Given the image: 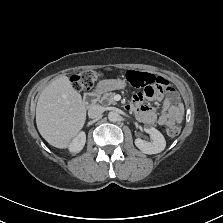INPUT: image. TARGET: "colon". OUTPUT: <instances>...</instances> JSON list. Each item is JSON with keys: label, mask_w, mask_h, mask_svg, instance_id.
Returning a JSON list of instances; mask_svg holds the SVG:
<instances>
[{"label": "colon", "mask_w": 223, "mask_h": 223, "mask_svg": "<svg viewBox=\"0 0 223 223\" xmlns=\"http://www.w3.org/2000/svg\"><path fill=\"white\" fill-rule=\"evenodd\" d=\"M100 76L101 73L98 71L85 70L72 74L70 81L77 91H85L90 89ZM127 78L135 87L150 88L154 92H163L165 89V82L160 77L150 73L130 70L127 73ZM180 131L181 128L175 125L167 129V133L171 137H176Z\"/></svg>", "instance_id": "obj_1"}]
</instances>
